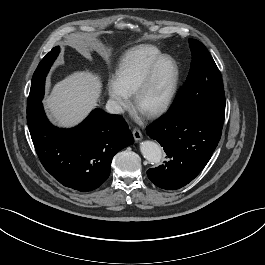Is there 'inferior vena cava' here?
Here are the masks:
<instances>
[{
	"label": "inferior vena cava",
	"instance_id": "602c4592",
	"mask_svg": "<svg viewBox=\"0 0 265 265\" xmlns=\"http://www.w3.org/2000/svg\"><path fill=\"white\" fill-rule=\"evenodd\" d=\"M106 111L110 114H121L123 108L114 100H108L106 103Z\"/></svg>",
	"mask_w": 265,
	"mask_h": 265
}]
</instances>
